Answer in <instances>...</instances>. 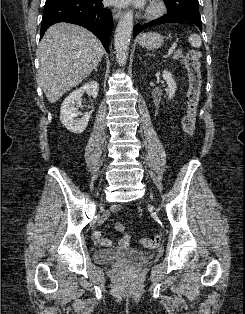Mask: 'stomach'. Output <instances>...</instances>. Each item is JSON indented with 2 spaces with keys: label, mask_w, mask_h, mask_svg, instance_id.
I'll use <instances>...</instances> for the list:
<instances>
[{
  "label": "stomach",
  "mask_w": 245,
  "mask_h": 314,
  "mask_svg": "<svg viewBox=\"0 0 245 314\" xmlns=\"http://www.w3.org/2000/svg\"><path fill=\"white\" fill-rule=\"evenodd\" d=\"M164 37L156 32H148L139 36V45L147 49H158L162 46Z\"/></svg>",
  "instance_id": "1"
}]
</instances>
